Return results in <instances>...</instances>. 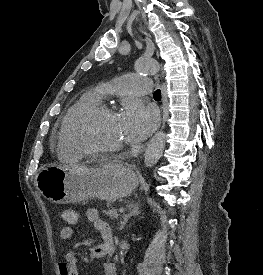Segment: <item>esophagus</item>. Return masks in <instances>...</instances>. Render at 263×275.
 Wrapping results in <instances>:
<instances>
[{"mask_svg": "<svg viewBox=\"0 0 263 275\" xmlns=\"http://www.w3.org/2000/svg\"><path fill=\"white\" fill-rule=\"evenodd\" d=\"M165 85L162 84V99H164Z\"/></svg>", "mask_w": 263, "mask_h": 275, "instance_id": "obj_1", "label": "esophagus"}]
</instances>
